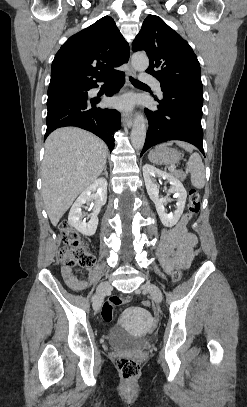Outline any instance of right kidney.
Here are the masks:
<instances>
[{"label": "right kidney", "mask_w": 247, "mask_h": 407, "mask_svg": "<svg viewBox=\"0 0 247 407\" xmlns=\"http://www.w3.org/2000/svg\"><path fill=\"white\" fill-rule=\"evenodd\" d=\"M106 201L107 181L104 178H99L88 186L72 205L68 216L69 224L83 235L93 236L98 226V214ZM90 202H94V211L90 215V221L86 223L82 220L81 207Z\"/></svg>", "instance_id": "1"}]
</instances>
